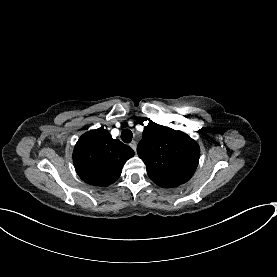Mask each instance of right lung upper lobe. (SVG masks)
I'll return each instance as SVG.
<instances>
[{
  "label": "right lung upper lobe",
  "instance_id": "1",
  "mask_svg": "<svg viewBox=\"0 0 277 277\" xmlns=\"http://www.w3.org/2000/svg\"><path fill=\"white\" fill-rule=\"evenodd\" d=\"M134 151L103 129L91 130L80 137L73 152V163L86 183L106 187L114 183Z\"/></svg>",
  "mask_w": 277,
  "mask_h": 277
}]
</instances>
